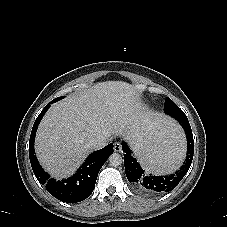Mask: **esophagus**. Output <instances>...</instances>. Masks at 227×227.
<instances>
[{"mask_svg": "<svg viewBox=\"0 0 227 227\" xmlns=\"http://www.w3.org/2000/svg\"><path fill=\"white\" fill-rule=\"evenodd\" d=\"M121 150H122L121 144L119 142H115L114 143V151L115 152H121Z\"/></svg>", "mask_w": 227, "mask_h": 227, "instance_id": "1", "label": "esophagus"}]
</instances>
